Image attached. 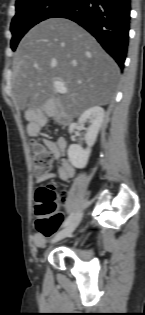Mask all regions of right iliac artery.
<instances>
[{"instance_id":"82829eb1","label":"right iliac artery","mask_w":145,"mask_h":315,"mask_svg":"<svg viewBox=\"0 0 145 315\" xmlns=\"http://www.w3.org/2000/svg\"><path fill=\"white\" fill-rule=\"evenodd\" d=\"M73 216H74V213H71L70 216L63 223L62 227L67 226L71 222V220L73 219Z\"/></svg>"}]
</instances>
